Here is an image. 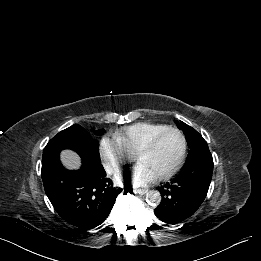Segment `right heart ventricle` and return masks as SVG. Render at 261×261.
I'll use <instances>...</instances> for the list:
<instances>
[{
    "instance_id": "e07e8e85",
    "label": "right heart ventricle",
    "mask_w": 261,
    "mask_h": 261,
    "mask_svg": "<svg viewBox=\"0 0 261 261\" xmlns=\"http://www.w3.org/2000/svg\"><path fill=\"white\" fill-rule=\"evenodd\" d=\"M166 128L168 126L163 124L140 122L120 129L114 137L130 154L135 155L156 133Z\"/></svg>"
}]
</instances>
